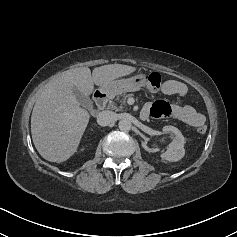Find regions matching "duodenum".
I'll return each instance as SVG.
<instances>
[{
  "mask_svg": "<svg viewBox=\"0 0 237 237\" xmlns=\"http://www.w3.org/2000/svg\"><path fill=\"white\" fill-rule=\"evenodd\" d=\"M107 95L102 91H96L94 93V101L98 109H103L107 104Z\"/></svg>",
  "mask_w": 237,
  "mask_h": 237,
  "instance_id": "1",
  "label": "duodenum"
}]
</instances>
